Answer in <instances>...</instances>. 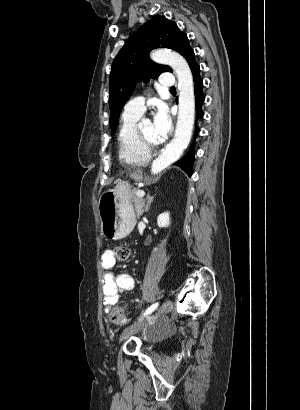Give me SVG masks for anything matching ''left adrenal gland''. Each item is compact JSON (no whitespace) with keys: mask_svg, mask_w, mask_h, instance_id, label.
<instances>
[{"mask_svg":"<svg viewBox=\"0 0 300 410\" xmlns=\"http://www.w3.org/2000/svg\"><path fill=\"white\" fill-rule=\"evenodd\" d=\"M153 196H150V194H147V196H146V206H145V212H148V210H149V208H150V205H151V203H152V201H153Z\"/></svg>","mask_w":300,"mask_h":410,"instance_id":"left-adrenal-gland-1","label":"left adrenal gland"}]
</instances>
